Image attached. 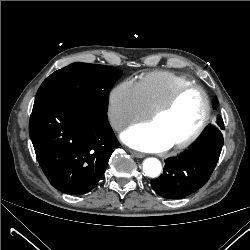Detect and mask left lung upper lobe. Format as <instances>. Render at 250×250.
Wrapping results in <instances>:
<instances>
[{"mask_svg":"<svg viewBox=\"0 0 250 250\" xmlns=\"http://www.w3.org/2000/svg\"><path fill=\"white\" fill-rule=\"evenodd\" d=\"M214 105H215V108L218 107V101L217 100L214 101ZM217 124H218L219 128H221V129L224 128L223 120L221 118H219L217 120Z\"/></svg>","mask_w":250,"mask_h":250,"instance_id":"5c2ea615","label":"left lung upper lobe"}]
</instances>
